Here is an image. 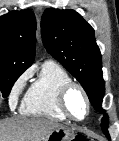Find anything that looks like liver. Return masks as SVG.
<instances>
[{
    "label": "liver",
    "instance_id": "obj_1",
    "mask_svg": "<svg viewBox=\"0 0 119 141\" xmlns=\"http://www.w3.org/2000/svg\"><path fill=\"white\" fill-rule=\"evenodd\" d=\"M62 125L45 118H16L0 122V141H43Z\"/></svg>",
    "mask_w": 119,
    "mask_h": 141
}]
</instances>
